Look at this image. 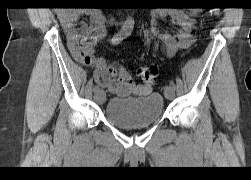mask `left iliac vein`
I'll list each match as a JSON object with an SVG mask.
<instances>
[{"label": "left iliac vein", "instance_id": "obj_1", "mask_svg": "<svg viewBox=\"0 0 251 180\" xmlns=\"http://www.w3.org/2000/svg\"><path fill=\"white\" fill-rule=\"evenodd\" d=\"M164 95L167 99L172 100L175 96V90L172 86H166L164 89Z\"/></svg>", "mask_w": 251, "mask_h": 180}]
</instances>
